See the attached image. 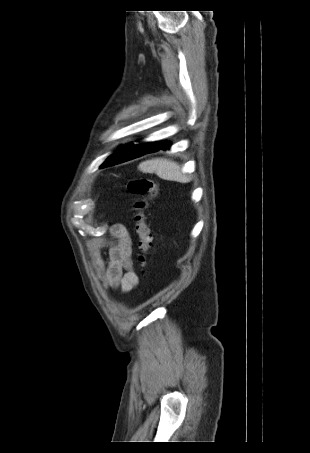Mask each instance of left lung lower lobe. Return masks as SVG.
<instances>
[{
	"instance_id": "0a47b994",
	"label": "left lung lower lobe",
	"mask_w": 310,
	"mask_h": 453,
	"mask_svg": "<svg viewBox=\"0 0 310 453\" xmlns=\"http://www.w3.org/2000/svg\"><path fill=\"white\" fill-rule=\"evenodd\" d=\"M170 145H171V143L166 142V141L150 143L149 145L141 148L140 151L132 159L137 158V157L142 156L147 153L158 151V150L169 149Z\"/></svg>"
}]
</instances>
